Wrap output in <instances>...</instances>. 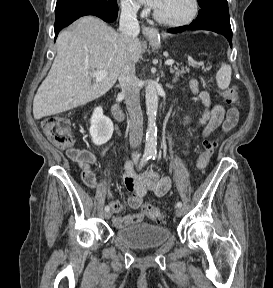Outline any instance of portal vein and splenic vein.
I'll return each instance as SVG.
<instances>
[{
    "mask_svg": "<svg viewBox=\"0 0 273 288\" xmlns=\"http://www.w3.org/2000/svg\"><path fill=\"white\" fill-rule=\"evenodd\" d=\"M173 63H174V61L170 60V59L166 60V62H165L166 65H172ZM90 75L92 77H95L96 82H100L101 80H103L106 77L107 71H105V70L93 71V72H91Z\"/></svg>",
    "mask_w": 273,
    "mask_h": 288,
    "instance_id": "obj_1",
    "label": "portal vein and splenic vein"
}]
</instances>
